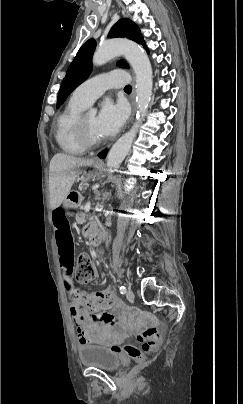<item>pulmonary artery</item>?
Returning a JSON list of instances; mask_svg holds the SVG:
<instances>
[{"instance_id":"pulmonary-artery-1","label":"pulmonary artery","mask_w":243,"mask_h":404,"mask_svg":"<svg viewBox=\"0 0 243 404\" xmlns=\"http://www.w3.org/2000/svg\"><path fill=\"white\" fill-rule=\"evenodd\" d=\"M123 84L124 81L118 79L110 72L100 73L81 83L77 90L79 97L86 103L88 107L94 100L99 98L105 92V90L109 88L121 87Z\"/></svg>"}]
</instances>
